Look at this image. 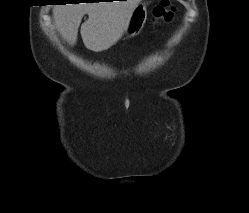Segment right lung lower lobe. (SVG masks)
Masks as SVG:
<instances>
[{"label": "right lung lower lobe", "mask_w": 249, "mask_h": 213, "mask_svg": "<svg viewBox=\"0 0 249 213\" xmlns=\"http://www.w3.org/2000/svg\"><path fill=\"white\" fill-rule=\"evenodd\" d=\"M90 1H98V0H90ZM60 3V2H59ZM93 3V2H92ZM59 5V4H58Z\"/></svg>", "instance_id": "right-lung-lower-lobe-1"}]
</instances>
